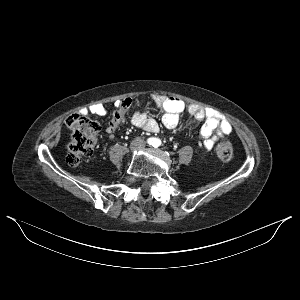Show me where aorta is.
<instances>
[{
  "label": "aorta",
  "mask_w": 300,
  "mask_h": 300,
  "mask_svg": "<svg viewBox=\"0 0 300 300\" xmlns=\"http://www.w3.org/2000/svg\"><path fill=\"white\" fill-rule=\"evenodd\" d=\"M161 144V141L158 139L157 140V145L159 146Z\"/></svg>",
  "instance_id": "obj_1"
}]
</instances>
